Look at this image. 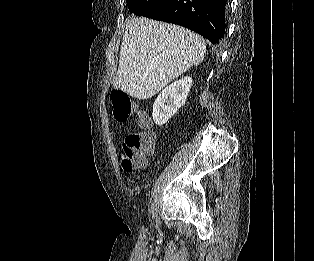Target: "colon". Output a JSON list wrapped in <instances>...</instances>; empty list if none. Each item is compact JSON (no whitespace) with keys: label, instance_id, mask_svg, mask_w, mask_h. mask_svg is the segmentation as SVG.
<instances>
[{"label":"colon","instance_id":"5ec220e1","mask_svg":"<svg viewBox=\"0 0 314 261\" xmlns=\"http://www.w3.org/2000/svg\"><path fill=\"white\" fill-rule=\"evenodd\" d=\"M113 106V116L119 122H126L135 117L139 126L147 128L149 117L141 111L130 96L122 89H114L110 94ZM155 135L145 130L130 132L122 143V167L126 172H131L142 164L143 157L151 153L155 147Z\"/></svg>","mask_w":314,"mask_h":261}]
</instances>
